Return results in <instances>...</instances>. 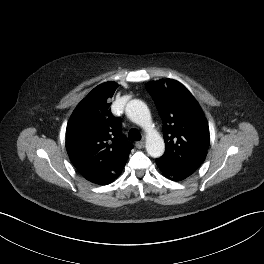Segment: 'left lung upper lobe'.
I'll return each instance as SVG.
<instances>
[{
	"mask_svg": "<svg viewBox=\"0 0 264 264\" xmlns=\"http://www.w3.org/2000/svg\"><path fill=\"white\" fill-rule=\"evenodd\" d=\"M146 89L155 100L163 121L166 150L159 160L196 170L209 148V127L191 93L171 79L148 82Z\"/></svg>",
	"mask_w": 264,
	"mask_h": 264,
	"instance_id": "left-lung-upper-lobe-1",
	"label": "left lung upper lobe"
}]
</instances>
